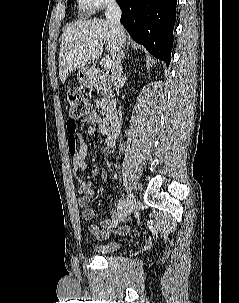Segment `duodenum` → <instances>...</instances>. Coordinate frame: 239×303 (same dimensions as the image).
Segmentation results:
<instances>
[{
	"mask_svg": "<svg viewBox=\"0 0 239 303\" xmlns=\"http://www.w3.org/2000/svg\"><path fill=\"white\" fill-rule=\"evenodd\" d=\"M102 127L110 137L114 138L120 132V118L116 113H109L102 122Z\"/></svg>",
	"mask_w": 239,
	"mask_h": 303,
	"instance_id": "410a0bca",
	"label": "duodenum"
}]
</instances>
